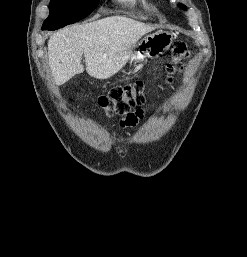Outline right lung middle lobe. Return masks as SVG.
I'll return each instance as SVG.
<instances>
[{
    "instance_id": "obj_1",
    "label": "right lung middle lobe",
    "mask_w": 247,
    "mask_h": 257,
    "mask_svg": "<svg viewBox=\"0 0 247 257\" xmlns=\"http://www.w3.org/2000/svg\"><path fill=\"white\" fill-rule=\"evenodd\" d=\"M99 0H51L49 16L42 27L53 30L72 24L89 15Z\"/></svg>"
}]
</instances>
